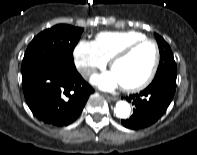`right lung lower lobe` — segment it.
<instances>
[{
    "label": "right lung lower lobe",
    "instance_id": "1",
    "mask_svg": "<svg viewBox=\"0 0 197 155\" xmlns=\"http://www.w3.org/2000/svg\"><path fill=\"white\" fill-rule=\"evenodd\" d=\"M22 86L32 113L54 126L72 123L94 92L71 64L44 67L22 80Z\"/></svg>",
    "mask_w": 197,
    "mask_h": 155
}]
</instances>
